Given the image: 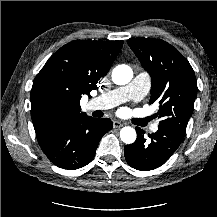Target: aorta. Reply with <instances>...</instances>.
Segmentation results:
<instances>
[{
  "label": "aorta",
  "instance_id": "762f6f07",
  "mask_svg": "<svg viewBox=\"0 0 217 217\" xmlns=\"http://www.w3.org/2000/svg\"><path fill=\"white\" fill-rule=\"evenodd\" d=\"M133 78L131 67L125 64L116 66L112 71V80L116 85H126ZM134 128L126 126L120 130V138L126 144H132L136 140Z\"/></svg>",
  "mask_w": 217,
  "mask_h": 217
}]
</instances>
